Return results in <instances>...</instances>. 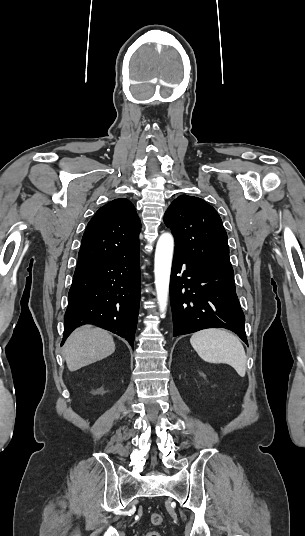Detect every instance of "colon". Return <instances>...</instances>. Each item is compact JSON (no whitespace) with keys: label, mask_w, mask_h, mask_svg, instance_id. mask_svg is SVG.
<instances>
[{"label":"colon","mask_w":305,"mask_h":536,"mask_svg":"<svg viewBox=\"0 0 305 536\" xmlns=\"http://www.w3.org/2000/svg\"><path fill=\"white\" fill-rule=\"evenodd\" d=\"M150 521L154 525H160L163 523V516L159 513H152L150 515ZM146 536H159V534L156 532H148Z\"/></svg>","instance_id":"colon-1"}]
</instances>
